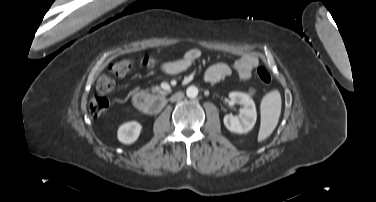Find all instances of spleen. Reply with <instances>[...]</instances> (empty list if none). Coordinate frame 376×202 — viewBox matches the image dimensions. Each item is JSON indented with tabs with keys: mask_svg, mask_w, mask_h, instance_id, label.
<instances>
[{
	"mask_svg": "<svg viewBox=\"0 0 376 202\" xmlns=\"http://www.w3.org/2000/svg\"><path fill=\"white\" fill-rule=\"evenodd\" d=\"M281 112V97L277 90L266 94L261 102V125L258 141L265 140L275 129Z\"/></svg>",
	"mask_w": 376,
	"mask_h": 202,
	"instance_id": "3e777b00",
	"label": "spleen"
}]
</instances>
